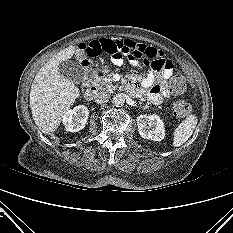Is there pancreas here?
<instances>
[{
  "mask_svg": "<svg viewBox=\"0 0 233 233\" xmlns=\"http://www.w3.org/2000/svg\"><path fill=\"white\" fill-rule=\"evenodd\" d=\"M113 74H108L104 78H102L96 85L99 89L104 90L106 92H112L117 88V85L113 84L112 80Z\"/></svg>",
  "mask_w": 233,
  "mask_h": 233,
  "instance_id": "cf45deb5",
  "label": "pancreas"
}]
</instances>
